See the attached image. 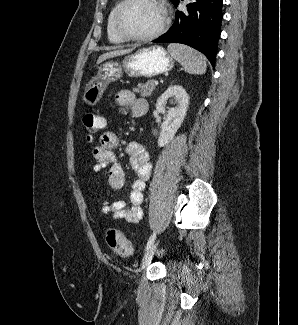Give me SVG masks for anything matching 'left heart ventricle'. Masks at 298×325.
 Wrapping results in <instances>:
<instances>
[{
    "mask_svg": "<svg viewBox=\"0 0 298 325\" xmlns=\"http://www.w3.org/2000/svg\"><path fill=\"white\" fill-rule=\"evenodd\" d=\"M160 22L161 15L157 8L149 2L140 1L127 7L120 25L127 34L142 37L157 29Z\"/></svg>",
    "mask_w": 298,
    "mask_h": 325,
    "instance_id": "b2bd125f",
    "label": "left heart ventricle"
}]
</instances>
